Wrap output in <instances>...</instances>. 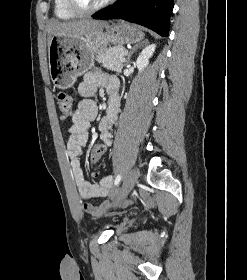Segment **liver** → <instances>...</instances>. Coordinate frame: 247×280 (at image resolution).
<instances>
[{
	"label": "liver",
	"mask_w": 247,
	"mask_h": 280,
	"mask_svg": "<svg viewBox=\"0 0 247 280\" xmlns=\"http://www.w3.org/2000/svg\"><path fill=\"white\" fill-rule=\"evenodd\" d=\"M107 26V22L91 19L77 21H53L48 27V47L53 36H86Z\"/></svg>",
	"instance_id": "6515ba94"
}]
</instances>
